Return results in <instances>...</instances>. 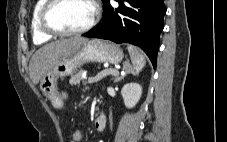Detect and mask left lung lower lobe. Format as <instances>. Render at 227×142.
<instances>
[{"mask_svg": "<svg viewBox=\"0 0 227 142\" xmlns=\"http://www.w3.org/2000/svg\"><path fill=\"white\" fill-rule=\"evenodd\" d=\"M104 7L103 22L84 34L85 37L131 43L141 47L156 67L160 33L166 13L164 0H116Z\"/></svg>", "mask_w": 227, "mask_h": 142, "instance_id": "1", "label": "left lung lower lobe"}]
</instances>
